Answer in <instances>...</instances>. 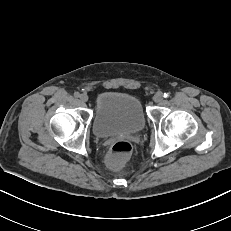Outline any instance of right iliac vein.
I'll return each mask as SVG.
<instances>
[{"mask_svg":"<svg viewBox=\"0 0 231 231\" xmlns=\"http://www.w3.org/2000/svg\"><path fill=\"white\" fill-rule=\"evenodd\" d=\"M88 99H89V97H88L87 94L83 93V94L80 95V100H81L82 102H87Z\"/></svg>","mask_w":231,"mask_h":231,"instance_id":"63e3f726","label":"right iliac vein"}]
</instances>
